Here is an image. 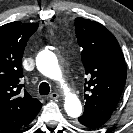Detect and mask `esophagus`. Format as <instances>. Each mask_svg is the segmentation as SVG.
Returning a JSON list of instances; mask_svg holds the SVG:
<instances>
[{"instance_id": "obj_1", "label": "esophagus", "mask_w": 133, "mask_h": 133, "mask_svg": "<svg viewBox=\"0 0 133 133\" xmlns=\"http://www.w3.org/2000/svg\"><path fill=\"white\" fill-rule=\"evenodd\" d=\"M49 97L53 100L58 99L59 98V94L57 92H53L49 95Z\"/></svg>"}]
</instances>
